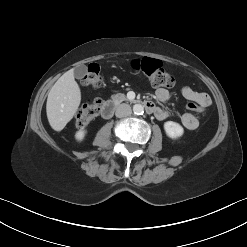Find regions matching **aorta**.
<instances>
[{
    "label": "aorta",
    "mask_w": 247,
    "mask_h": 247,
    "mask_svg": "<svg viewBox=\"0 0 247 247\" xmlns=\"http://www.w3.org/2000/svg\"><path fill=\"white\" fill-rule=\"evenodd\" d=\"M134 114L141 115L144 112V107L141 104H135L133 106Z\"/></svg>",
    "instance_id": "1"
}]
</instances>
